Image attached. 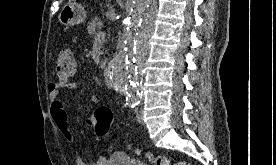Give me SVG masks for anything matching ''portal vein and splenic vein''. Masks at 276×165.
<instances>
[{
  "mask_svg": "<svg viewBox=\"0 0 276 165\" xmlns=\"http://www.w3.org/2000/svg\"><path fill=\"white\" fill-rule=\"evenodd\" d=\"M105 38V33L104 32H99L96 36V40L104 39Z\"/></svg>",
  "mask_w": 276,
  "mask_h": 165,
  "instance_id": "1",
  "label": "portal vein and splenic vein"
}]
</instances>
